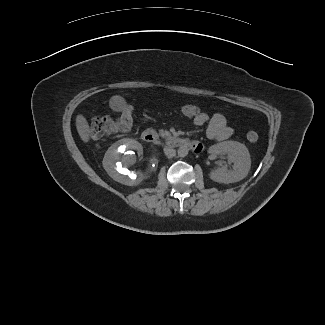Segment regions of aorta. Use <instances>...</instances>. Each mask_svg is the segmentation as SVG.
Wrapping results in <instances>:
<instances>
[{
	"mask_svg": "<svg viewBox=\"0 0 325 325\" xmlns=\"http://www.w3.org/2000/svg\"><path fill=\"white\" fill-rule=\"evenodd\" d=\"M187 154H188V148L186 146H181L178 149V156L179 157H185V156H187Z\"/></svg>",
	"mask_w": 325,
	"mask_h": 325,
	"instance_id": "obj_1",
	"label": "aorta"
}]
</instances>
